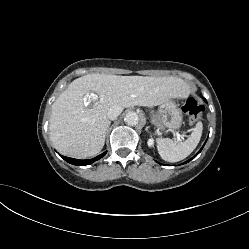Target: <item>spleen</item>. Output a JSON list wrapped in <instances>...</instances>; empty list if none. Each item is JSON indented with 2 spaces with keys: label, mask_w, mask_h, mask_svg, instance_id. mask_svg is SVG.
Masks as SVG:
<instances>
[{
  "label": "spleen",
  "mask_w": 249,
  "mask_h": 249,
  "mask_svg": "<svg viewBox=\"0 0 249 249\" xmlns=\"http://www.w3.org/2000/svg\"><path fill=\"white\" fill-rule=\"evenodd\" d=\"M202 129V122H198L188 139L181 143L173 142L168 138L158 140L157 148L162 159L167 162H178L188 157L197 147Z\"/></svg>",
  "instance_id": "spleen-1"
}]
</instances>
